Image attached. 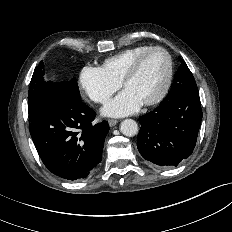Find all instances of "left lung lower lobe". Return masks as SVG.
Returning a JSON list of instances; mask_svg holds the SVG:
<instances>
[{
	"label": "left lung lower lobe",
	"instance_id": "0a47b994",
	"mask_svg": "<svg viewBox=\"0 0 232 232\" xmlns=\"http://www.w3.org/2000/svg\"><path fill=\"white\" fill-rule=\"evenodd\" d=\"M139 120L137 147L143 158L160 168L177 166L195 147L202 120L200 97L171 90Z\"/></svg>",
	"mask_w": 232,
	"mask_h": 232
}]
</instances>
